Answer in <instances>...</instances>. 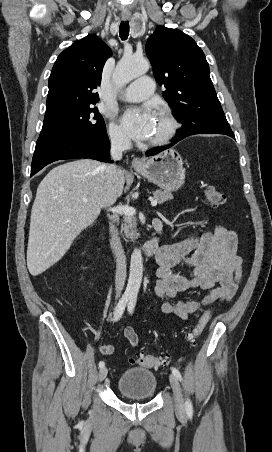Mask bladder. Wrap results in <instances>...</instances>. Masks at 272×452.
I'll use <instances>...</instances> for the list:
<instances>
[{"mask_svg":"<svg viewBox=\"0 0 272 452\" xmlns=\"http://www.w3.org/2000/svg\"><path fill=\"white\" fill-rule=\"evenodd\" d=\"M158 387L157 377L147 368H130L124 371L116 384L118 392L128 398H152Z\"/></svg>","mask_w":272,"mask_h":452,"instance_id":"obj_1","label":"bladder"}]
</instances>
